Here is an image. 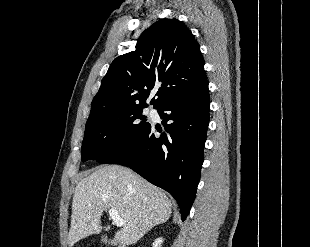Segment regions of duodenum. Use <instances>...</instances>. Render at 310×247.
Listing matches in <instances>:
<instances>
[{
  "mask_svg": "<svg viewBox=\"0 0 310 247\" xmlns=\"http://www.w3.org/2000/svg\"><path fill=\"white\" fill-rule=\"evenodd\" d=\"M112 243L116 246V247H125L124 245L118 243V242H114L112 241Z\"/></svg>",
  "mask_w": 310,
  "mask_h": 247,
  "instance_id": "1",
  "label": "duodenum"
}]
</instances>
